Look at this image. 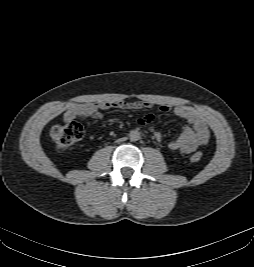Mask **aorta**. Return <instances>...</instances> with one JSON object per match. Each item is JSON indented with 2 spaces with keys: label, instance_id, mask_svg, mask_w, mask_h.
I'll use <instances>...</instances> for the list:
<instances>
[{
  "label": "aorta",
  "instance_id": "762f6f07",
  "mask_svg": "<svg viewBox=\"0 0 254 267\" xmlns=\"http://www.w3.org/2000/svg\"><path fill=\"white\" fill-rule=\"evenodd\" d=\"M129 138L131 141H138L140 139V132L138 130L130 131Z\"/></svg>",
  "mask_w": 254,
  "mask_h": 267
}]
</instances>
